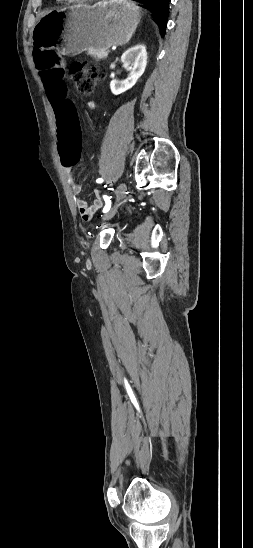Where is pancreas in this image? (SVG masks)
<instances>
[{
    "instance_id": "cf45deb5",
    "label": "pancreas",
    "mask_w": 253,
    "mask_h": 548,
    "mask_svg": "<svg viewBox=\"0 0 253 548\" xmlns=\"http://www.w3.org/2000/svg\"><path fill=\"white\" fill-rule=\"evenodd\" d=\"M87 53L94 57L95 59H105L108 55V51L106 49H95V48H88Z\"/></svg>"
}]
</instances>
